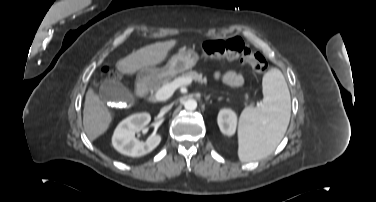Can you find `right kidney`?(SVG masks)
I'll return each instance as SVG.
<instances>
[{
	"instance_id": "ca27d5eb",
	"label": "right kidney",
	"mask_w": 376,
	"mask_h": 202,
	"mask_svg": "<svg viewBox=\"0 0 376 202\" xmlns=\"http://www.w3.org/2000/svg\"><path fill=\"white\" fill-rule=\"evenodd\" d=\"M151 121L149 113H136L122 120L116 127L112 136L113 147L121 154L140 157L155 149L160 141V135H152L145 142L135 138L137 130L144 129Z\"/></svg>"
}]
</instances>
